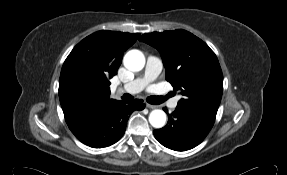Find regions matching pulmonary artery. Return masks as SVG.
<instances>
[{"label": "pulmonary artery", "instance_id": "obj_1", "mask_svg": "<svg viewBox=\"0 0 287 175\" xmlns=\"http://www.w3.org/2000/svg\"><path fill=\"white\" fill-rule=\"evenodd\" d=\"M163 63L159 57L148 55L146 59V66L142 76L132 80L131 82L120 86L117 91L129 94H136L141 92L149 83L154 81L161 73ZM179 98L172 100L170 106L172 109L176 108Z\"/></svg>", "mask_w": 287, "mask_h": 175}]
</instances>
